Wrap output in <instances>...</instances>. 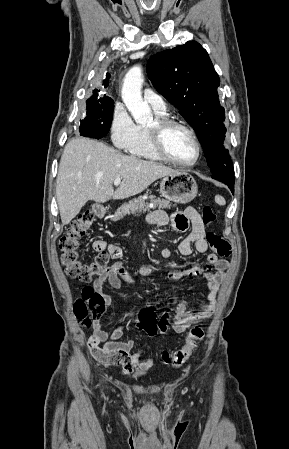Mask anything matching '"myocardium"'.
<instances>
[{
    "label": "myocardium",
    "mask_w": 289,
    "mask_h": 449,
    "mask_svg": "<svg viewBox=\"0 0 289 449\" xmlns=\"http://www.w3.org/2000/svg\"><path fill=\"white\" fill-rule=\"evenodd\" d=\"M172 128H181L183 130H185L189 136L192 138L196 149H197V155L196 158L189 163H184L181 161H178L176 159H174L168 152L167 147H166V142H165V137L166 134L169 130H171ZM148 133H149V137L153 146V149L155 150V152L158 154V156L167 161L170 162L172 164L181 166V167H192L194 165H196L199 160L201 159L202 156V146L201 143L195 133V131L188 126L187 124L176 120V119H172L169 117H157L156 120L154 121L153 126H150L148 128Z\"/></svg>",
    "instance_id": "f54148a6"
}]
</instances>
